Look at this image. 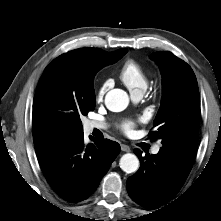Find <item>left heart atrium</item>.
<instances>
[{"label": "left heart atrium", "instance_id": "39dd6f15", "mask_svg": "<svg viewBox=\"0 0 221 221\" xmlns=\"http://www.w3.org/2000/svg\"><path fill=\"white\" fill-rule=\"evenodd\" d=\"M134 126H135V123L134 121H131V120H128V121H125L123 124H122V130L129 134L133 131L134 129Z\"/></svg>", "mask_w": 221, "mask_h": 221}]
</instances>
